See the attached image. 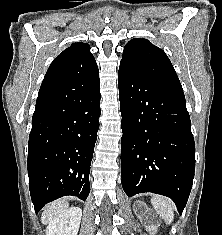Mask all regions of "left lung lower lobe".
Wrapping results in <instances>:
<instances>
[{"mask_svg":"<svg viewBox=\"0 0 222 235\" xmlns=\"http://www.w3.org/2000/svg\"><path fill=\"white\" fill-rule=\"evenodd\" d=\"M122 187L170 197L181 214L194 178L195 143L183 90L120 64Z\"/></svg>","mask_w":222,"mask_h":235,"instance_id":"left-lung-lower-lobe-1","label":"left lung lower lobe"}]
</instances>
